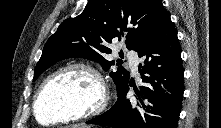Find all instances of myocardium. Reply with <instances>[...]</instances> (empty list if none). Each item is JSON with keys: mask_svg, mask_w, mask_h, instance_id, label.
<instances>
[{"mask_svg": "<svg viewBox=\"0 0 221 128\" xmlns=\"http://www.w3.org/2000/svg\"><path fill=\"white\" fill-rule=\"evenodd\" d=\"M71 70H81L93 77L97 86V92L93 100L91 101L89 106L85 107L82 111L78 113L68 114L66 116L56 118L49 123H42L37 117V105H38V102L40 100V97L42 95L44 88L53 78L57 77L58 75L64 72L71 71ZM108 99H109V94H108L107 85L101 73L89 64L76 62V63H71L63 67H60L59 69L49 74L41 82L34 96L33 114L37 122L40 124L57 125V124H63V123L64 124L71 123V122H76V121L85 119L87 117H93V116L99 115L106 108Z\"/></svg>", "mask_w": 221, "mask_h": 128, "instance_id": "1", "label": "myocardium"}]
</instances>
